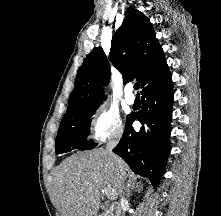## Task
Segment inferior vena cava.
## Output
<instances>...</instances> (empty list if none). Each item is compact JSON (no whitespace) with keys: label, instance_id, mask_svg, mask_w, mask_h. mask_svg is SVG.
<instances>
[{"label":"inferior vena cava","instance_id":"inferior-vena-cava-1","mask_svg":"<svg viewBox=\"0 0 221 216\" xmlns=\"http://www.w3.org/2000/svg\"><path fill=\"white\" fill-rule=\"evenodd\" d=\"M117 144V141H112L110 143H108V145L106 146V150L112 154L113 156H115L112 152V149L115 147V145ZM118 162V167L120 169L121 174L123 175V167L121 164L120 160H117ZM126 203V200L124 198V196L121 195V199H120V205L117 206L116 208V216H124V209H123V205Z\"/></svg>","mask_w":221,"mask_h":216}]
</instances>
